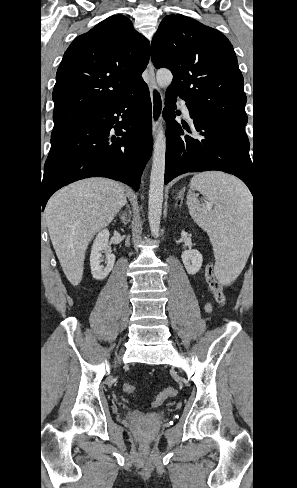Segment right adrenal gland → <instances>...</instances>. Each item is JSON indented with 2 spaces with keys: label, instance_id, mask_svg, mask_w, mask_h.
<instances>
[{
  "label": "right adrenal gland",
  "instance_id": "1",
  "mask_svg": "<svg viewBox=\"0 0 297 488\" xmlns=\"http://www.w3.org/2000/svg\"><path fill=\"white\" fill-rule=\"evenodd\" d=\"M126 207L128 208L129 213H131V211L129 210V206L127 205V203H126ZM118 215H119V217H120V219H121V221H122V223H123L124 225H126V224H127L129 221H130V217H128V218H127V217L125 216V214H123V213H119Z\"/></svg>",
  "mask_w": 297,
  "mask_h": 488
}]
</instances>
